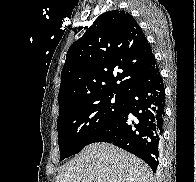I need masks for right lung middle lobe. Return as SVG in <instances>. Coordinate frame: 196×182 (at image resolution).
Returning <instances> with one entry per match:
<instances>
[{"instance_id":"1","label":"right lung middle lobe","mask_w":196,"mask_h":182,"mask_svg":"<svg viewBox=\"0 0 196 182\" xmlns=\"http://www.w3.org/2000/svg\"><path fill=\"white\" fill-rule=\"evenodd\" d=\"M125 97L100 96L59 113L60 160L80 152L123 110Z\"/></svg>"}]
</instances>
